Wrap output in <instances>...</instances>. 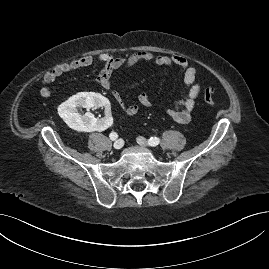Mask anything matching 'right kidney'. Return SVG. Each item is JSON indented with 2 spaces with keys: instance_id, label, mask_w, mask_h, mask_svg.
<instances>
[{
  "instance_id": "right-kidney-1",
  "label": "right kidney",
  "mask_w": 269,
  "mask_h": 269,
  "mask_svg": "<svg viewBox=\"0 0 269 269\" xmlns=\"http://www.w3.org/2000/svg\"><path fill=\"white\" fill-rule=\"evenodd\" d=\"M98 106L104 107L106 113L103 118L98 120L90 112H86L85 114L78 112L79 107L90 109ZM58 111L69 127L78 131L100 133L113 125V118L110 112L111 107L108 99L92 92L74 95L66 102L62 103Z\"/></svg>"
}]
</instances>
